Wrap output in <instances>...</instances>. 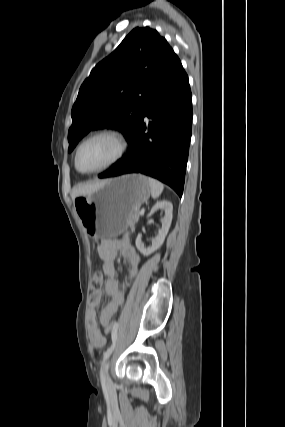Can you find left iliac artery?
Returning a JSON list of instances; mask_svg holds the SVG:
<instances>
[{"label": "left iliac artery", "mask_w": 285, "mask_h": 427, "mask_svg": "<svg viewBox=\"0 0 285 427\" xmlns=\"http://www.w3.org/2000/svg\"><path fill=\"white\" fill-rule=\"evenodd\" d=\"M116 342H117V332L115 331V332L112 334V345H111V346L106 350V352L103 354V361H102V364H101V370H100V378H101V382H104V381H105V377H104V374H103V366H104V363H105L106 359L110 356V354L112 353V351L114 350L115 345H116Z\"/></svg>", "instance_id": "1"}]
</instances>
